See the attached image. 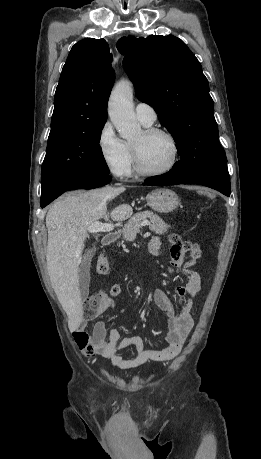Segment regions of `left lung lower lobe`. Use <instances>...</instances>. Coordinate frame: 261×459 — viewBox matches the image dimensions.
Instances as JSON below:
<instances>
[{"label": "left lung lower lobe", "mask_w": 261, "mask_h": 459, "mask_svg": "<svg viewBox=\"0 0 261 459\" xmlns=\"http://www.w3.org/2000/svg\"><path fill=\"white\" fill-rule=\"evenodd\" d=\"M190 183L204 185L230 196V178L226 164L205 166L188 174L171 169L167 174L145 180V184L149 186Z\"/></svg>", "instance_id": "obj_1"}]
</instances>
